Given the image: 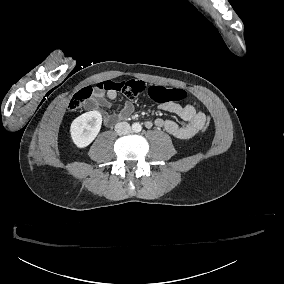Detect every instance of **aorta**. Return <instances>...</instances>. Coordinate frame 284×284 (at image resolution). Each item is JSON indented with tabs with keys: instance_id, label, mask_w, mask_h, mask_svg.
<instances>
[{
	"instance_id": "1",
	"label": "aorta",
	"mask_w": 284,
	"mask_h": 284,
	"mask_svg": "<svg viewBox=\"0 0 284 284\" xmlns=\"http://www.w3.org/2000/svg\"><path fill=\"white\" fill-rule=\"evenodd\" d=\"M132 130L134 132H140L142 130V126L139 123H134L132 124Z\"/></svg>"
}]
</instances>
